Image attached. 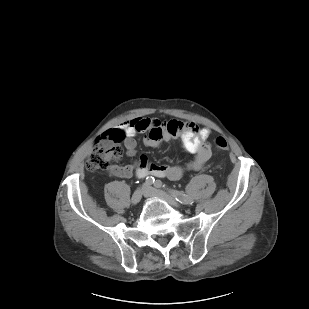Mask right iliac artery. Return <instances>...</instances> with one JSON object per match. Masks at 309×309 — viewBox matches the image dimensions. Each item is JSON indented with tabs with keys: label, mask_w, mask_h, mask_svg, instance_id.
<instances>
[{
	"label": "right iliac artery",
	"mask_w": 309,
	"mask_h": 309,
	"mask_svg": "<svg viewBox=\"0 0 309 309\" xmlns=\"http://www.w3.org/2000/svg\"><path fill=\"white\" fill-rule=\"evenodd\" d=\"M154 181H155L154 177L148 176V177H146L145 182H146L147 185H152L154 183Z\"/></svg>",
	"instance_id": "obj_1"
}]
</instances>
